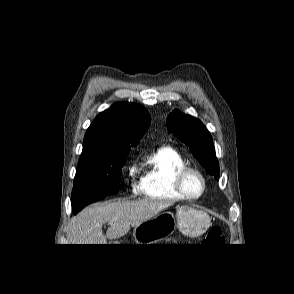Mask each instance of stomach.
Returning <instances> with one entry per match:
<instances>
[{"instance_id":"obj_1","label":"stomach","mask_w":294,"mask_h":294,"mask_svg":"<svg viewBox=\"0 0 294 294\" xmlns=\"http://www.w3.org/2000/svg\"><path fill=\"white\" fill-rule=\"evenodd\" d=\"M211 225L209 215L190 206H180L176 215L162 212L134 227L136 244H154L169 237L176 229L183 235L196 238L204 234Z\"/></svg>"}]
</instances>
